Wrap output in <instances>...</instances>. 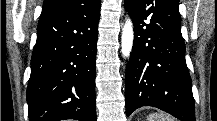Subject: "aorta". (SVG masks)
I'll return each mask as SVG.
<instances>
[{"mask_svg":"<svg viewBox=\"0 0 217 121\" xmlns=\"http://www.w3.org/2000/svg\"><path fill=\"white\" fill-rule=\"evenodd\" d=\"M133 39H134V33H133V24L131 19H127L123 31H122V37H121V51L124 57H129L132 47H133Z\"/></svg>","mask_w":217,"mask_h":121,"instance_id":"762f6f07","label":"aorta"}]
</instances>
